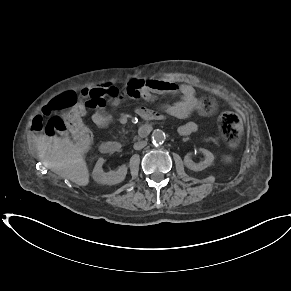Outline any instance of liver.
I'll list each match as a JSON object with an SVG mask.
<instances>
[{
	"label": "liver",
	"mask_w": 291,
	"mask_h": 291,
	"mask_svg": "<svg viewBox=\"0 0 291 291\" xmlns=\"http://www.w3.org/2000/svg\"><path fill=\"white\" fill-rule=\"evenodd\" d=\"M28 142L33 155L53 172L77 185H88L89 170L83 150L69 138L32 135Z\"/></svg>",
	"instance_id": "6515ba94"
}]
</instances>
